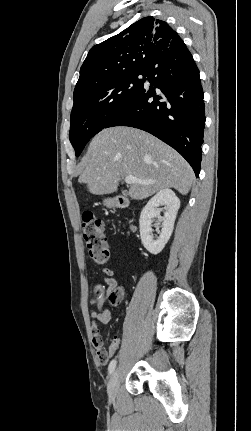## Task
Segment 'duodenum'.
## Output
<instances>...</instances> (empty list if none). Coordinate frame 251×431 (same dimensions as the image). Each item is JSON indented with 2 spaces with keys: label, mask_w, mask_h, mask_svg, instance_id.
<instances>
[{
  "label": "duodenum",
  "mask_w": 251,
  "mask_h": 431,
  "mask_svg": "<svg viewBox=\"0 0 251 431\" xmlns=\"http://www.w3.org/2000/svg\"><path fill=\"white\" fill-rule=\"evenodd\" d=\"M117 204L119 205V206H125L126 205V201L124 200V199H119L118 201H117Z\"/></svg>",
  "instance_id": "1"
}]
</instances>
